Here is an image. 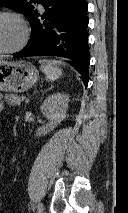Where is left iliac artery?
<instances>
[{"mask_svg": "<svg viewBox=\"0 0 128 213\" xmlns=\"http://www.w3.org/2000/svg\"><path fill=\"white\" fill-rule=\"evenodd\" d=\"M37 211L38 213H41L43 211V205L41 203L37 204Z\"/></svg>", "mask_w": 128, "mask_h": 213, "instance_id": "1", "label": "left iliac artery"}]
</instances>
